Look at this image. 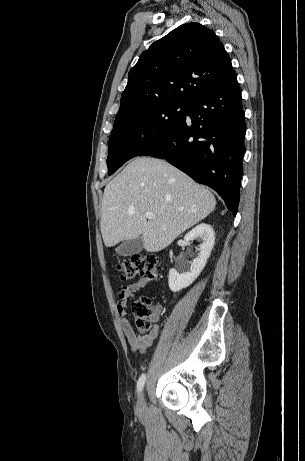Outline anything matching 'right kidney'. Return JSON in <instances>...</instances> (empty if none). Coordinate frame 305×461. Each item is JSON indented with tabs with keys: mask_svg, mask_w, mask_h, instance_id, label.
I'll list each match as a JSON object with an SVG mask.
<instances>
[{
	"mask_svg": "<svg viewBox=\"0 0 305 461\" xmlns=\"http://www.w3.org/2000/svg\"><path fill=\"white\" fill-rule=\"evenodd\" d=\"M200 238L203 242L200 244L198 256L193 260L189 268H184L181 272L170 269L168 284L173 292H178L183 288L190 286L204 269L210 253L215 244V233L211 225L201 223L188 232L184 240L186 242Z\"/></svg>",
	"mask_w": 305,
	"mask_h": 461,
	"instance_id": "ca27d5eb",
	"label": "right kidney"
}]
</instances>
